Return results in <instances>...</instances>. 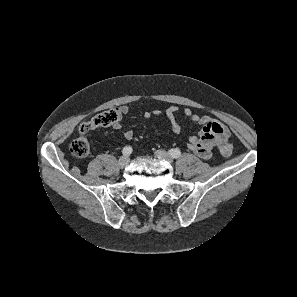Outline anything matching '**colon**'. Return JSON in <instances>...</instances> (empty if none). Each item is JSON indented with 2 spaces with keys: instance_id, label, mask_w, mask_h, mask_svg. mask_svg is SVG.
<instances>
[{
  "instance_id": "1",
  "label": "colon",
  "mask_w": 297,
  "mask_h": 297,
  "mask_svg": "<svg viewBox=\"0 0 297 297\" xmlns=\"http://www.w3.org/2000/svg\"><path fill=\"white\" fill-rule=\"evenodd\" d=\"M119 118L118 110L112 109L98 113L89 121L82 123L79 127L80 136L70 144L71 154L77 158L86 157L90 152V144L84 135L96 128L111 126L119 121ZM218 149L220 155L227 158L232 154L233 147L228 142H222L219 144Z\"/></svg>"
}]
</instances>
